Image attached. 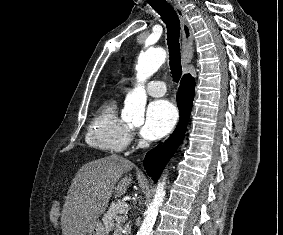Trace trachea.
<instances>
[{
  "label": "trachea",
  "mask_w": 283,
  "mask_h": 235,
  "mask_svg": "<svg viewBox=\"0 0 283 235\" xmlns=\"http://www.w3.org/2000/svg\"><path fill=\"white\" fill-rule=\"evenodd\" d=\"M151 6L166 24L170 70L173 80L178 82L182 75L179 44L180 21L178 15L167 2L152 3Z\"/></svg>",
  "instance_id": "1"
}]
</instances>
